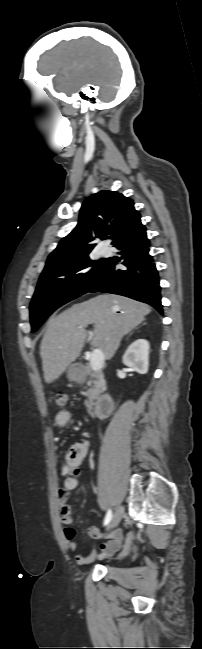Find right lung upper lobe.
I'll return each instance as SVG.
<instances>
[{
	"label": "right lung upper lobe",
	"instance_id": "right-lung-upper-lobe-1",
	"mask_svg": "<svg viewBox=\"0 0 202 649\" xmlns=\"http://www.w3.org/2000/svg\"><path fill=\"white\" fill-rule=\"evenodd\" d=\"M143 229L132 199L116 191L93 194L82 204L77 226L49 255L40 278L70 271L76 260L91 252L95 239L109 236L115 245Z\"/></svg>",
	"mask_w": 202,
	"mask_h": 649
}]
</instances>
